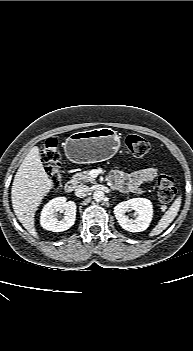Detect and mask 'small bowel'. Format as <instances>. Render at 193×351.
<instances>
[{
  "instance_id": "obj_1",
  "label": "small bowel",
  "mask_w": 193,
  "mask_h": 351,
  "mask_svg": "<svg viewBox=\"0 0 193 351\" xmlns=\"http://www.w3.org/2000/svg\"><path fill=\"white\" fill-rule=\"evenodd\" d=\"M157 170L153 167L142 169L133 173L113 171L110 175L111 183L118 189L140 191L144 183L154 180Z\"/></svg>"
}]
</instances>
